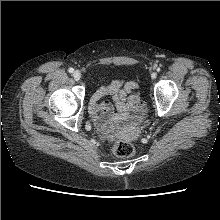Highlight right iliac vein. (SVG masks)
Here are the masks:
<instances>
[{
	"instance_id": "1",
	"label": "right iliac vein",
	"mask_w": 220,
	"mask_h": 220,
	"mask_svg": "<svg viewBox=\"0 0 220 220\" xmlns=\"http://www.w3.org/2000/svg\"><path fill=\"white\" fill-rule=\"evenodd\" d=\"M73 78L76 80V81H79L81 79V73L79 70H76L74 71L73 73Z\"/></svg>"
}]
</instances>
